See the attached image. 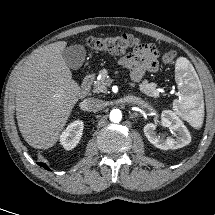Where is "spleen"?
<instances>
[{"label":"spleen","mask_w":215,"mask_h":215,"mask_svg":"<svg viewBox=\"0 0 215 215\" xmlns=\"http://www.w3.org/2000/svg\"><path fill=\"white\" fill-rule=\"evenodd\" d=\"M176 81L181 90L179 99L173 101V110L193 126L199 125L204 113V104L194 68L184 57L176 61Z\"/></svg>","instance_id":"spleen-1"}]
</instances>
